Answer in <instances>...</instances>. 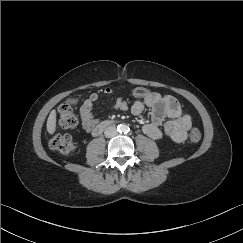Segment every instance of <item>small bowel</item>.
Masks as SVG:
<instances>
[{"mask_svg":"<svg viewBox=\"0 0 243 243\" xmlns=\"http://www.w3.org/2000/svg\"><path fill=\"white\" fill-rule=\"evenodd\" d=\"M113 90L109 87L102 94L92 93L82 103L79 109L82 127L86 131H92L99 124V118L94 112L95 105L102 96H111ZM139 100L129 105L124 98L117 97L112 100V108L115 110L129 111L134 116L141 115L146 108L150 110L151 120L143 125V131L153 139L170 137L180 143L186 139V133L191 127L192 118L186 113L178 101L170 96L156 92L144 91L143 95L135 96ZM168 121L162 126L165 119Z\"/></svg>","mask_w":243,"mask_h":243,"instance_id":"c3829d8e","label":"small bowel"}]
</instances>
